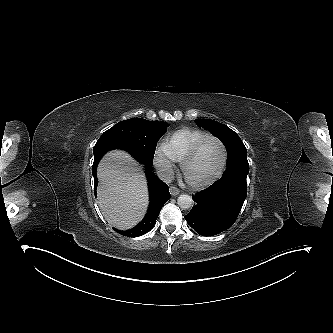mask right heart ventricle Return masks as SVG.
Instances as JSON below:
<instances>
[{
  "instance_id": "e07e8e85",
  "label": "right heart ventricle",
  "mask_w": 333,
  "mask_h": 333,
  "mask_svg": "<svg viewBox=\"0 0 333 333\" xmlns=\"http://www.w3.org/2000/svg\"><path fill=\"white\" fill-rule=\"evenodd\" d=\"M209 133L192 128H182L172 133L165 146L168 153L175 161H182L192 146Z\"/></svg>"
}]
</instances>
